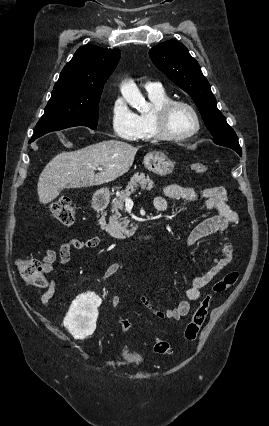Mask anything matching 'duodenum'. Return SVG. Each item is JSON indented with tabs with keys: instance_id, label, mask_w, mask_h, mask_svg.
I'll return each mask as SVG.
<instances>
[{
	"instance_id": "duodenum-1",
	"label": "duodenum",
	"mask_w": 269,
	"mask_h": 426,
	"mask_svg": "<svg viewBox=\"0 0 269 426\" xmlns=\"http://www.w3.org/2000/svg\"><path fill=\"white\" fill-rule=\"evenodd\" d=\"M110 197L104 191H99L95 194L92 200V207L97 213H101L109 204Z\"/></svg>"
}]
</instances>
